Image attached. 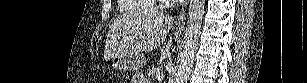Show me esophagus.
<instances>
[{
    "mask_svg": "<svg viewBox=\"0 0 307 83\" xmlns=\"http://www.w3.org/2000/svg\"><path fill=\"white\" fill-rule=\"evenodd\" d=\"M187 4H188V3H186V4L183 6V8H182L181 11H180V14H179L178 17H177V23H176V25H177V27H178L179 29H184V27H185Z\"/></svg>",
    "mask_w": 307,
    "mask_h": 83,
    "instance_id": "esophagus-1",
    "label": "esophagus"
}]
</instances>
